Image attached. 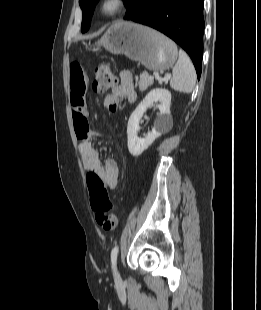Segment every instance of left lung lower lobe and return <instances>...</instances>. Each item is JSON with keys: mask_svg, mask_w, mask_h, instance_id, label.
Instances as JSON below:
<instances>
[{"mask_svg": "<svg viewBox=\"0 0 261 310\" xmlns=\"http://www.w3.org/2000/svg\"><path fill=\"white\" fill-rule=\"evenodd\" d=\"M204 0H136L125 20H132L164 33L191 57L197 77L203 57Z\"/></svg>", "mask_w": 261, "mask_h": 310, "instance_id": "0a47b994", "label": "left lung lower lobe"}]
</instances>
